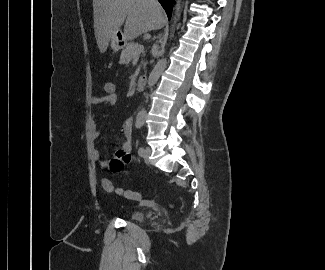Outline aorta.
<instances>
[{
    "instance_id": "aorta-1",
    "label": "aorta",
    "mask_w": 325,
    "mask_h": 270,
    "mask_svg": "<svg viewBox=\"0 0 325 270\" xmlns=\"http://www.w3.org/2000/svg\"><path fill=\"white\" fill-rule=\"evenodd\" d=\"M180 9H181V1L178 0L175 6V10H174V17H173V27L172 29H174V27L177 24V21L180 17ZM166 67V59H161L160 61L157 62V64L155 65L154 69L152 70V72L149 75L148 78V88H152L155 83L157 82V80L159 79V77L161 76V74L163 73L164 69ZM146 116V111H141L138 114V118L143 119Z\"/></svg>"
}]
</instances>
